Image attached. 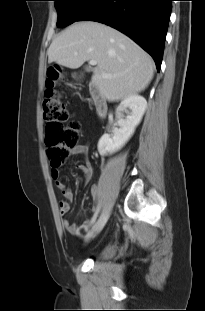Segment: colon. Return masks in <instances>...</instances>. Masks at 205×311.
<instances>
[{"mask_svg": "<svg viewBox=\"0 0 205 311\" xmlns=\"http://www.w3.org/2000/svg\"><path fill=\"white\" fill-rule=\"evenodd\" d=\"M62 79L58 67L46 71L45 95L42 103L45 121V144L52 170L57 172L59 167L70 155L71 150L79 143V124L70 123L68 111L61 101L60 93L56 90L57 83Z\"/></svg>", "mask_w": 205, "mask_h": 311, "instance_id": "colon-1", "label": "colon"}]
</instances>
